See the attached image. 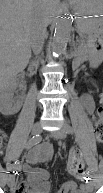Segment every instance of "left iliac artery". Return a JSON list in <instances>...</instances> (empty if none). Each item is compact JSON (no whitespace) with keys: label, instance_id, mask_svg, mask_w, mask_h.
I'll return each instance as SVG.
<instances>
[{"label":"left iliac artery","instance_id":"1","mask_svg":"<svg viewBox=\"0 0 103 193\" xmlns=\"http://www.w3.org/2000/svg\"><path fill=\"white\" fill-rule=\"evenodd\" d=\"M66 133L72 134L73 129L70 125H65ZM94 180L91 169L87 168V182H92Z\"/></svg>","mask_w":103,"mask_h":193}]
</instances>
